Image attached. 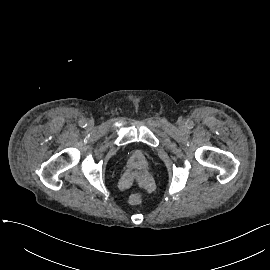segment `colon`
Here are the masks:
<instances>
[{"label": "colon", "instance_id": "1", "mask_svg": "<svg viewBox=\"0 0 270 270\" xmlns=\"http://www.w3.org/2000/svg\"><path fill=\"white\" fill-rule=\"evenodd\" d=\"M144 199V192L142 191H134L128 196V203L130 205H138Z\"/></svg>", "mask_w": 270, "mask_h": 270}]
</instances>
